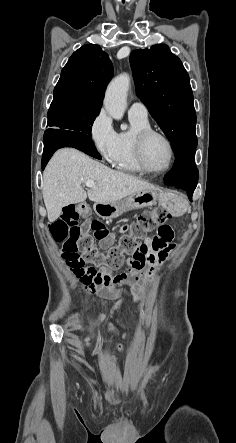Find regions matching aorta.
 Returning <instances> with one entry per match:
<instances>
[{"label": "aorta", "mask_w": 236, "mask_h": 443, "mask_svg": "<svg viewBox=\"0 0 236 443\" xmlns=\"http://www.w3.org/2000/svg\"><path fill=\"white\" fill-rule=\"evenodd\" d=\"M129 86L130 76L124 73L114 78L105 92L104 107L108 114L116 120H121L124 115ZM123 129L125 130L126 127Z\"/></svg>", "instance_id": "obj_1"}]
</instances>
